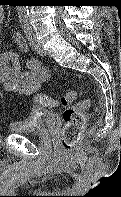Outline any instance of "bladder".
Wrapping results in <instances>:
<instances>
[{"label":"bladder","mask_w":121,"mask_h":197,"mask_svg":"<svg viewBox=\"0 0 121 197\" xmlns=\"http://www.w3.org/2000/svg\"><path fill=\"white\" fill-rule=\"evenodd\" d=\"M55 122V113L48 109H40L26 118L9 124L8 130L15 134H43Z\"/></svg>","instance_id":"31cf9c89"}]
</instances>
